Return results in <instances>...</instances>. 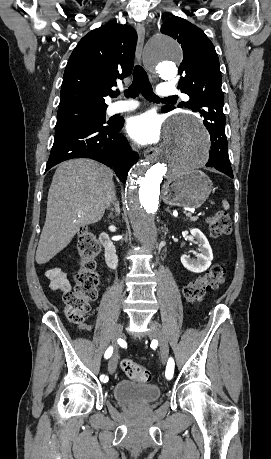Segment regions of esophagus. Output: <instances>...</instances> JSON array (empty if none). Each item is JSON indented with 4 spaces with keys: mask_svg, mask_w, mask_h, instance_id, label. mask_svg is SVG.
Segmentation results:
<instances>
[{
    "mask_svg": "<svg viewBox=\"0 0 271 459\" xmlns=\"http://www.w3.org/2000/svg\"><path fill=\"white\" fill-rule=\"evenodd\" d=\"M136 30L138 34V41L136 47V60L139 62L140 69H150L154 70L152 67L151 60H145V52L143 51L144 41L148 39L147 30L145 29L142 23L136 25ZM152 67V68H151ZM144 157L151 162L157 161V151L154 147H149L144 151Z\"/></svg>",
    "mask_w": 271,
    "mask_h": 459,
    "instance_id": "1",
    "label": "esophagus"
}]
</instances>
